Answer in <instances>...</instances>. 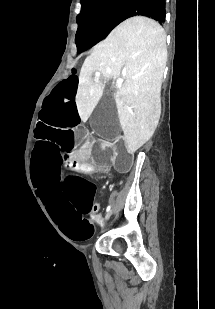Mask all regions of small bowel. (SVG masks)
Segmentation results:
<instances>
[{
	"label": "small bowel",
	"instance_id": "small-bowel-1",
	"mask_svg": "<svg viewBox=\"0 0 215 309\" xmlns=\"http://www.w3.org/2000/svg\"><path fill=\"white\" fill-rule=\"evenodd\" d=\"M98 211H99V207L96 205L95 209L93 210L94 216L96 215Z\"/></svg>",
	"mask_w": 215,
	"mask_h": 309
}]
</instances>
